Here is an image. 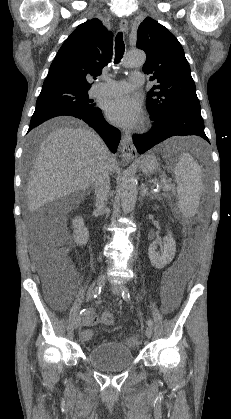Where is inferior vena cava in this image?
Segmentation results:
<instances>
[{
  "mask_svg": "<svg viewBox=\"0 0 231 419\" xmlns=\"http://www.w3.org/2000/svg\"><path fill=\"white\" fill-rule=\"evenodd\" d=\"M110 161L109 158L101 162L95 178V196L97 211L102 214L106 210V204L110 190Z\"/></svg>",
  "mask_w": 231,
  "mask_h": 419,
  "instance_id": "1",
  "label": "inferior vena cava"
}]
</instances>
